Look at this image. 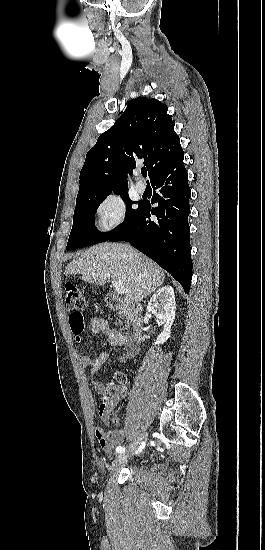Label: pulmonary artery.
I'll list each match as a JSON object with an SVG mask.
<instances>
[{"label":"pulmonary artery","mask_w":265,"mask_h":550,"mask_svg":"<svg viewBox=\"0 0 265 550\" xmlns=\"http://www.w3.org/2000/svg\"><path fill=\"white\" fill-rule=\"evenodd\" d=\"M135 188H136V191H137L139 194H142V193L145 192L146 185H145V183H143L142 181H138V182L136 183Z\"/></svg>","instance_id":"1"}]
</instances>
